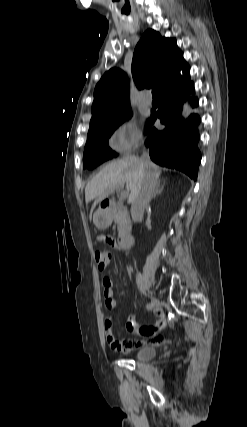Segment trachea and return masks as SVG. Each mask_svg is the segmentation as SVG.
I'll return each mask as SVG.
<instances>
[{"label": "trachea", "mask_w": 247, "mask_h": 427, "mask_svg": "<svg viewBox=\"0 0 247 427\" xmlns=\"http://www.w3.org/2000/svg\"><path fill=\"white\" fill-rule=\"evenodd\" d=\"M152 95H153V98H157L158 97V93H157L156 89L152 90Z\"/></svg>", "instance_id": "3493384b"}]
</instances>
